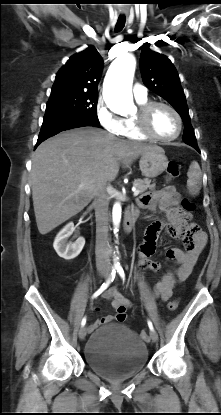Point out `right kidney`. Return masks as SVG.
<instances>
[{
	"label": "right kidney",
	"mask_w": 221,
	"mask_h": 415,
	"mask_svg": "<svg viewBox=\"0 0 221 415\" xmlns=\"http://www.w3.org/2000/svg\"><path fill=\"white\" fill-rule=\"evenodd\" d=\"M75 227L72 222L68 223L56 236L53 247L56 253L66 259L71 260L77 257L85 245V239L79 237L74 243H67L68 238L74 232Z\"/></svg>",
	"instance_id": "1"
}]
</instances>
